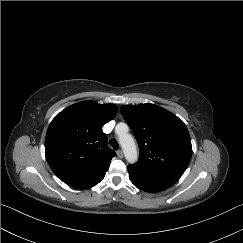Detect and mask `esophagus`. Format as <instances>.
Wrapping results in <instances>:
<instances>
[{
	"mask_svg": "<svg viewBox=\"0 0 243 243\" xmlns=\"http://www.w3.org/2000/svg\"><path fill=\"white\" fill-rule=\"evenodd\" d=\"M117 156H118L119 158H123V156H124L123 151H122V150H118V151H117Z\"/></svg>",
	"mask_w": 243,
	"mask_h": 243,
	"instance_id": "1",
	"label": "esophagus"
}]
</instances>
